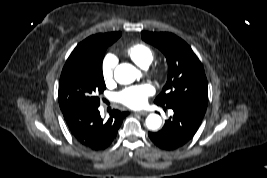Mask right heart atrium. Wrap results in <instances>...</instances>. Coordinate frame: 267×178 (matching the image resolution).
Wrapping results in <instances>:
<instances>
[{"instance_id":"d8ad5b80","label":"right heart atrium","mask_w":267,"mask_h":178,"mask_svg":"<svg viewBox=\"0 0 267 178\" xmlns=\"http://www.w3.org/2000/svg\"><path fill=\"white\" fill-rule=\"evenodd\" d=\"M116 65V57L112 54L104 56L101 63V73L106 84H111L114 81V69Z\"/></svg>"}]
</instances>
